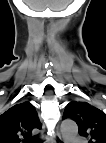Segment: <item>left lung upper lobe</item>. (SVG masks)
I'll list each match as a JSON object with an SVG mask.
<instances>
[{
  "label": "left lung upper lobe",
  "instance_id": "left-lung-upper-lobe-1",
  "mask_svg": "<svg viewBox=\"0 0 106 143\" xmlns=\"http://www.w3.org/2000/svg\"><path fill=\"white\" fill-rule=\"evenodd\" d=\"M63 117H71L89 143H106V114L87 102L71 101Z\"/></svg>",
  "mask_w": 106,
  "mask_h": 143
}]
</instances>
